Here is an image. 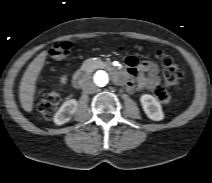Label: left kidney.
<instances>
[{
  "mask_svg": "<svg viewBox=\"0 0 212 183\" xmlns=\"http://www.w3.org/2000/svg\"><path fill=\"white\" fill-rule=\"evenodd\" d=\"M140 102L145 114L154 121H160L164 118V113L160 103L150 94H143Z\"/></svg>",
  "mask_w": 212,
  "mask_h": 183,
  "instance_id": "1",
  "label": "left kidney"
}]
</instances>
